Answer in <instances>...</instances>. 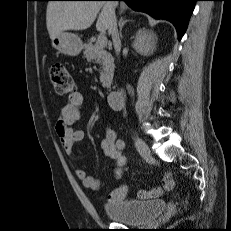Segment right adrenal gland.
Instances as JSON below:
<instances>
[{"label": "right adrenal gland", "instance_id": "2a0ac1e0", "mask_svg": "<svg viewBox=\"0 0 231 231\" xmlns=\"http://www.w3.org/2000/svg\"><path fill=\"white\" fill-rule=\"evenodd\" d=\"M127 22H129V20H127V19L121 18V19L119 20V29H120L119 34H120V37H121V38H122V28H123V26H124Z\"/></svg>", "mask_w": 231, "mask_h": 231}]
</instances>
